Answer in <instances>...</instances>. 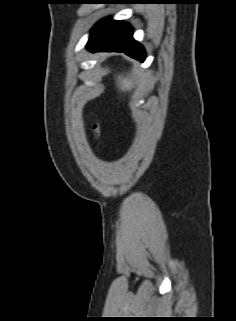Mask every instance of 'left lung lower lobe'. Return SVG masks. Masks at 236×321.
Returning a JSON list of instances; mask_svg holds the SVG:
<instances>
[{"instance_id":"1","label":"left lung lower lobe","mask_w":236,"mask_h":321,"mask_svg":"<svg viewBox=\"0 0 236 321\" xmlns=\"http://www.w3.org/2000/svg\"><path fill=\"white\" fill-rule=\"evenodd\" d=\"M132 35V28L127 23L105 19L91 30L87 49L91 52H124L143 62L146 58L145 50Z\"/></svg>"}]
</instances>
